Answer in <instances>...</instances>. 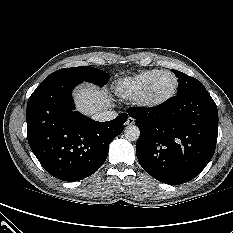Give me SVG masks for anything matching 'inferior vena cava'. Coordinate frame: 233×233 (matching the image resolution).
<instances>
[{
	"instance_id": "obj_1",
	"label": "inferior vena cava",
	"mask_w": 233,
	"mask_h": 233,
	"mask_svg": "<svg viewBox=\"0 0 233 233\" xmlns=\"http://www.w3.org/2000/svg\"><path fill=\"white\" fill-rule=\"evenodd\" d=\"M117 117L115 111H103L93 115V119L96 121H110Z\"/></svg>"
}]
</instances>
